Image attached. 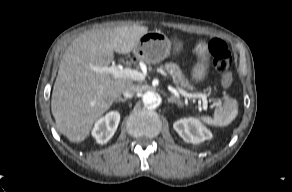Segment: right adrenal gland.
I'll use <instances>...</instances> for the list:
<instances>
[{"label": "right adrenal gland", "mask_w": 292, "mask_h": 192, "mask_svg": "<svg viewBox=\"0 0 292 192\" xmlns=\"http://www.w3.org/2000/svg\"><path fill=\"white\" fill-rule=\"evenodd\" d=\"M126 101H127V99H126V98H122V97H118V98L115 100L116 103H119V102H126Z\"/></svg>", "instance_id": "2a0ac1e0"}]
</instances>
